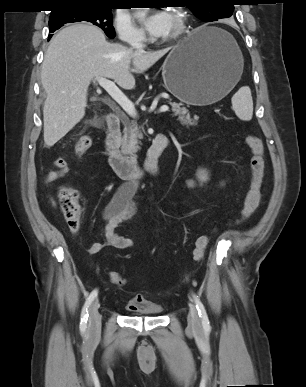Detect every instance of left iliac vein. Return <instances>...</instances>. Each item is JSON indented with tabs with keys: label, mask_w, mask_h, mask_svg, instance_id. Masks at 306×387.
<instances>
[{
	"label": "left iliac vein",
	"mask_w": 306,
	"mask_h": 387,
	"mask_svg": "<svg viewBox=\"0 0 306 387\" xmlns=\"http://www.w3.org/2000/svg\"><path fill=\"white\" fill-rule=\"evenodd\" d=\"M187 320L190 328L197 331L202 330L201 321L194 304H189V314H188Z\"/></svg>",
	"instance_id": "4c4485c4"
}]
</instances>
